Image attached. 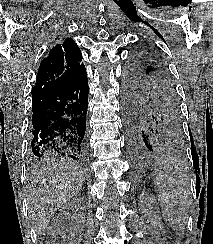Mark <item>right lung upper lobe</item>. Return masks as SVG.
<instances>
[{
    "instance_id": "1",
    "label": "right lung upper lobe",
    "mask_w": 213,
    "mask_h": 244,
    "mask_svg": "<svg viewBox=\"0 0 213 244\" xmlns=\"http://www.w3.org/2000/svg\"><path fill=\"white\" fill-rule=\"evenodd\" d=\"M81 60L77 44L71 38L60 39L42 60L32 93L40 89L55 90L72 82L85 68Z\"/></svg>"
}]
</instances>
